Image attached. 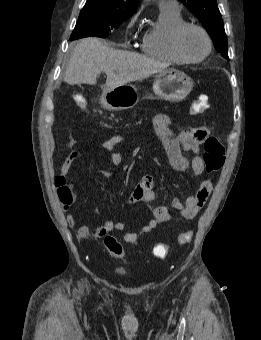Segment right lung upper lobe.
<instances>
[{
	"instance_id": "1",
	"label": "right lung upper lobe",
	"mask_w": 261,
	"mask_h": 340,
	"mask_svg": "<svg viewBox=\"0 0 261 340\" xmlns=\"http://www.w3.org/2000/svg\"><path fill=\"white\" fill-rule=\"evenodd\" d=\"M136 3L137 0H87L85 7L102 8L130 17L136 10Z\"/></svg>"
}]
</instances>
